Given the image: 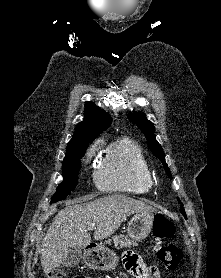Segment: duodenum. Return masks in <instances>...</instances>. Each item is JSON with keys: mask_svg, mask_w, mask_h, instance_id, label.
<instances>
[{"mask_svg": "<svg viewBox=\"0 0 221 278\" xmlns=\"http://www.w3.org/2000/svg\"><path fill=\"white\" fill-rule=\"evenodd\" d=\"M95 249H96V247L94 245H89L87 247V251L89 252V254H93Z\"/></svg>", "mask_w": 221, "mask_h": 278, "instance_id": "duodenum-1", "label": "duodenum"}]
</instances>
